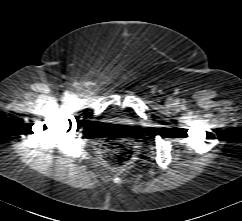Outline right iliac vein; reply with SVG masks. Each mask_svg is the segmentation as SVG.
<instances>
[{
  "mask_svg": "<svg viewBox=\"0 0 242 221\" xmlns=\"http://www.w3.org/2000/svg\"><path fill=\"white\" fill-rule=\"evenodd\" d=\"M69 99H71V100H75V96L70 95V96H69Z\"/></svg>",
  "mask_w": 242,
  "mask_h": 221,
  "instance_id": "right-iliac-vein-1",
  "label": "right iliac vein"
}]
</instances>
